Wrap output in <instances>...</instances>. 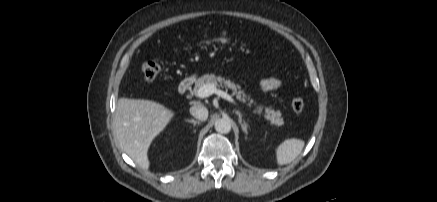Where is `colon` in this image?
<instances>
[{
    "instance_id": "colon-1",
    "label": "colon",
    "mask_w": 437,
    "mask_h": 202,
    "mask_svg": "<svg viewBox=\"0 0 437 202\" xmlns=\"http://www.w3.org/2000/svg\"><path fill=\"white\" fill-rule=\"evenodd\" d=\"M229 40L226 33L215 35L212 38H206L204 42H227ZM142 75L145 81L151 82L156 79L160 72V65L157 61L148 60L141 65ZM291 107L295 112H301L305 108V101L301 97H295L291 100Z\"/></svg>"
}]
</instances>
